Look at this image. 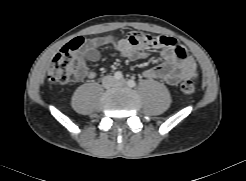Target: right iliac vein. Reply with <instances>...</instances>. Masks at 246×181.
Listing matches in <instances>:
<instances>
[{"instance_id":"right-iliac-vein-1","label":"right iliac vein","mask_w":246,"mask_h":181,"mask_svg":"<svg viewBox=\"0 0 246 181\" xmlns=\"http://www.w3.org/2000/svg\"><path fill=\"white\" fill-rule=\"evenodd\" d=\"M113 84V79L111 77H107L104 81V86L106 88H109Z\"/></svg>"}]
</instances>
